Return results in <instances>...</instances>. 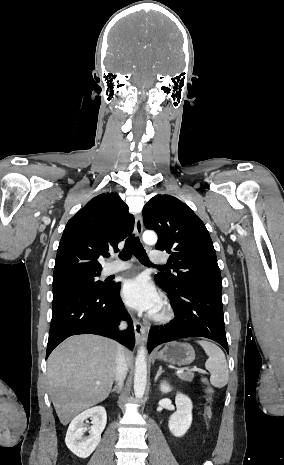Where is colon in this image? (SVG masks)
Segmentation results:
<instances>
[{"label": "colon", "instance_id": "colon-1", "mask_svg": "<svg viewBox=\"0 0 284 465\" xmlns=\"http://www.w3.org/2000/svg\"><path fill=\"white\" fill-rule=\"evenodd\" d=\"M203 382L206 383V380L203 379ZM205 392H206V395H207V398H208V405H207V408H206V415H207V417H210L211 414H212L213 390L211 388L207 387L205 389Z\"/></svg>", "mask_w": 284, "mask_h": 465}]
</instances>
